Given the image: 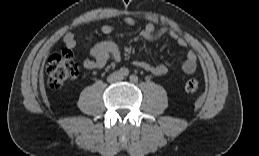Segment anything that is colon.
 Here are the masks:
<instances>
[{"instance_id":"5ec220e1","label":"colon","mask_w":259,"mask_h":156,"mask_svg":"<svg viewBox=\"0 0 259 156\" xmlns=\"http://www.w3.org/2000/svg\"><path fill=\"white\" fill-rule=\"evenodd\" d=\"M47 83L53 89L62 88L66 82L73 80L78 75V67L69 49H63L60 53L51 55L45 66ZM197 79H190L185 83V91L193 93L199 88Z\"/></svg>"}]
</instances>
